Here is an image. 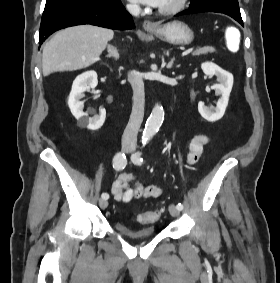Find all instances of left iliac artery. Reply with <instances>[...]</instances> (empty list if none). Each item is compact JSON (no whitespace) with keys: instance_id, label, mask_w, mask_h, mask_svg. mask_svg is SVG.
<instances>
[{"instance_id":"left-iliac-artery-1","label":"left iliac artery","mask_w":280,"mask_h":283,"mask_svg":"<svg viewBox=\"0 0 280 283\" xmlns=\"http://www.w3.org/2000/svg\"><path fill=\"white\" fill-rule=\"evenodd\" d=\"M141 152H137L135 154L132 155L131 159L135 164H141L143 162V158L141 157ZM179 210L183 209V204L178 203L176 206Z\"/></svg>"}]
</instances>
